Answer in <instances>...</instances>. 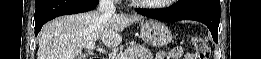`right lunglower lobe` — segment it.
Wrapping results in <instances>:
<instances>
[{
    "instance_id": "right-lung-lower-lobe-1",
    "label": "right lung lower lobe",
    "mask_w": 261,
    "mask_h": 59,
    "mask_svg": "<svg viewBox=\"0 0 261 59\" xmlns=\"http://www.w3.org/2000/svg\"><path fill=\"white\" fill-rule=\"evenodd\" d=\"M98 2L99 0H36L35 35L49 20L61 15L90 11Z\"/></svg>"
}]
</instances>
